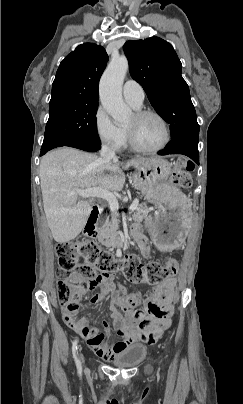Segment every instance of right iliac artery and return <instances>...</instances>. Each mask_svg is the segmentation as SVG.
<instances>
[{
  "mask_svg": "<svg viewBox=\"0 0 243 404\" xmlns=\"http://www.w3.org/2000/svg\"><path fill=\"white\" fill-rule=\"evenodd\" d=\"M77 343H78V339H75L73 342V346H72V353H73V358H74L76 366H77L78 374H81L82 366H81V361L79 359L78 352H77Z\"/></svg>",
  "mask_w": 243,
  "mask_h": 404,
  "instance_id": "1",
  "label": "right iliac artery"
}]
</instances>
